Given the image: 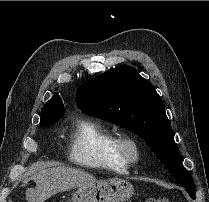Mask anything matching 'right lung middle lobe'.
<instances>
[{
	"label": "right lung middle lobe",
	"instance_id": "1",
	"mask_svg": "<svg viewBox=\"0 0 209 202\" xmlns=\"http://www.w3.org/2000/svg\"><path fill=\"white\" fill-rule=\"evenodd\" d=\"M65 112V108H56L46 112L41 111V118L50 121V124L45 125L44 127H48L58 122L64 116Z\"/></svg>",
	"mask_w": 209,
	"mask_h": 202
}]
</instances>
